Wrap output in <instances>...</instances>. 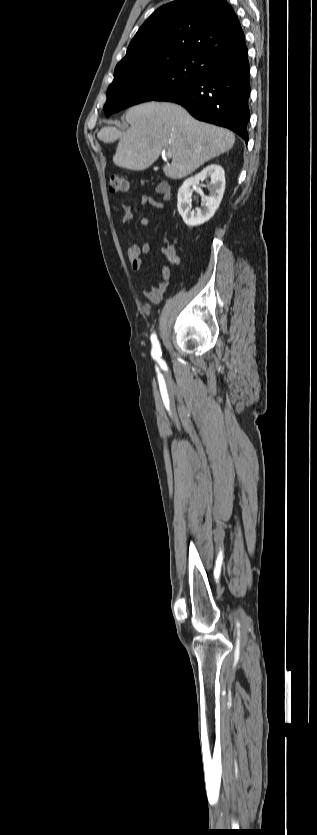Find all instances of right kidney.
I'll return each mask as SVG.
<instances>
[{
    "instance_id": "1",
    "label": "right kidney",
    "mask_w": 317,
    "mask_h": 835,
    "mask_svg": "<svg viewBox=\"0 0 317 835\" xmlns=\"http://www.w3.org/2000/svg\"><path fill=\"white\" fill-rule=\"evenodd\" d=\"M207 178L211 179L210 195L207 196L203 193L201 194L202 207L201 209H197L196 212H194L189 201V197L191 195V188L198 187L200 181H203ZM224 190L225 172L224 169L218 164L208 165L195 176L185 180L183 185L178 190L177 204L178 212L182 216L183 221L188 226H197L210 220L214 216L216 210L218 209L221 203Z\"/></svg>"
}]
</instances>
